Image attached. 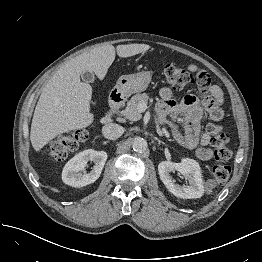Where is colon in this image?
<instances>
[{
	"label": "colon",
	"mask_w": 262,
	"mask_h": 262,
	"mask_svg": "<svg viewBox=\"0 0 262 262\" xmlns=\"http://www.w3.org/2000/svg\"><path fill=\"white\" fill-rule=\"evenodd\" d=\"M207 73L202 71L200 76L204 77ZM198 76L190 74L187 70L174 64H166L164 66V79L173 89L181 90L184 87L191 85ZM208 132L211 136V144L214 147V154L218 160L212 173L214 179L218 183H223L228 180L231 174V167L224 162L232 157V150L227 145V134L218 124H211L208 127ZM82 132L76 131L71 135H67L58 139L46 150V156L52 160L60 161L68 157L69 153L76 150Z\"/></svg>",
	"instance_id": "colon-1"
}]
</instances>
